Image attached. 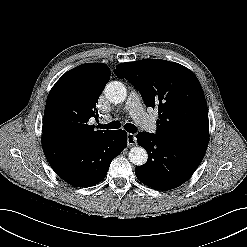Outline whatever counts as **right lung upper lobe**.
<instances>
[{"label": "right lung upper lobe", "mask_w": 247, "mask_h": 247, "mask_svg": "<svg viewBox=\"0 0 247 247\" xmlns=\"http://www.w3.org/2000/svg\"><path fill=\"white\" fill-rule=\"evenodd\" d=\"M109 79L110 69L102 63H86L66 72L47 97L42 138L82 147L108 133L94 130L88 121L98 117L96 103Z\"/></svg>", "instance_id": "obj_1"}]
</instances>
